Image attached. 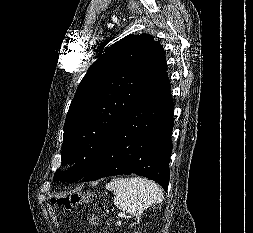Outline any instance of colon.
<instances>
[{"label": "colon", "mask_w": 253, "mask_h": 233, "mask_svg": "<svg viewBox=\"0 0 253 233\" xmlns=\"http://www.w3.org/2000/svg\"><path fill=\"white\" fill-rule=\"evenodd\" d=\"M92 198V195L89 193H74L66 196H59L52 199V202L66 210L74 208L77 204L88 201ZM89 225H94L96 223V217L94 215L89 217ZM85 233V232H82Z\"/></svg>", "instance_id": "obj_1"}]
</instances>
